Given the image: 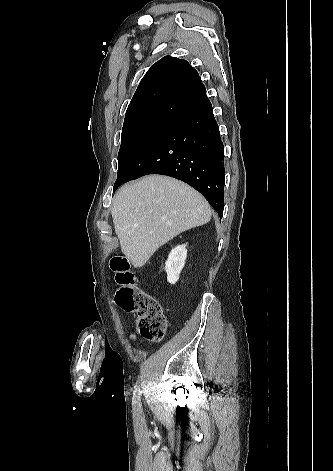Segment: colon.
<instances>
[{
  "label": "colon",
  "instance_id": "obj_1",
  "mask_svg": "<svg viewBox=\"0 0 333 471\" xmlns=\"http://www.w3.org/2000/svg\"><path fill=\"white\" fill-rule=\"evenodd\" d=\"M110 268L118 286L116 303L126 311L137 314L140 334L150 340H161L166 332L167 322L163 309L154 297L137 287L136 278L129 261L116 256L110 261Z\"/></svg>",
  "mask_w": 333,
  "mask_h": 471
}]
</instances>
